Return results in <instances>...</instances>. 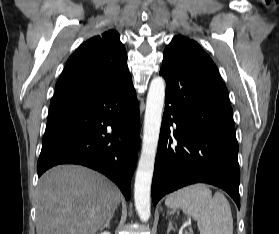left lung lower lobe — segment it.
Segmentation results:
<instances>
[{
	"mask_svg": "<svg viewBox=\"0 0 279 234\" xmlns=\"http://www.w3.org/2000/svg\"><path fill=\"white\" fill-rule=\"evenodd\" d=\"M166 102L152 181L165 194L203 182L225 190L240 208L238 143L228 91L217 69L164 51Z\"/></svg>",
	"mask_w": 279,
	"mask_h": 234,
	"instance_id": "0a47b994",
	"label": "left lung lower lobe"
}]
</instances>
